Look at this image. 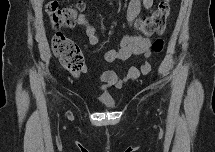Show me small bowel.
I'll return each mask as SVG.
<instances>
[{"label":"small bowel","mask_w":215,"mask_h":152,"mask_svg":"<svg viewBox=\"0 0 215 152\" xmlns=\"http://www.w3.org/2000/svg\"><path fill=\"white\" fill-rule=\"evenodd\" d=\"M153 0H130L127 6V20L132 26L140 13L141 6L145 9H150L153 6ZM78 24L85 30L87 37V45L98 46L102 43V39L97 35L95 28L91 25L85 15L80 12L78 16ZM150 53V41L142 36L130 35L125 36L121 40L119 49L105 48L103 50V58L107 62L116 60H127L132 55L144 54L148 56ZM151 70V66L147 60L141 62L139 67L132 66L129 68L126 77L120 79L116 72L112 70L104 71L100 75L101 89L120 90L127 83L135 81L140 74L147 75ZM86 72V67H83Z\"/></svg>","instance_id":"obj_1"}]
</instances>
